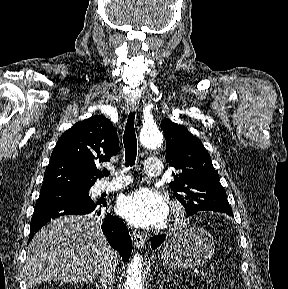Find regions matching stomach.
Segmentation results:
<instances>
[{
  "mask_svg": "<svg viewBox=\"0 0 288 289\" xmlns=\"http://www.w3.org/2000/svg\"><path fill=\"white\" fill-rule=\"evenodd\" d=\"M211 234L200 227H190L175 233L164 247L160 260L171 268H194L207 262L214 253Z\"/></svg>",
  "mask_w": 288,
  "mask_h": 289,
  "instance_id": "stomach-1",
  "label": "stomach"
}]
</instances>
